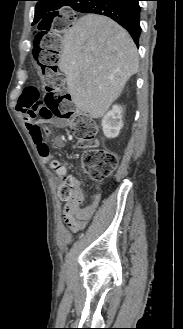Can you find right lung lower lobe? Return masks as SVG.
I'll return each mask as SVG.
<instances>
[{
	"instance_id": "1",
	"label": "right lung lower lobe",
	"mask_w": 183,
	"mask_h": 329,
	"mask_svg": "<svg viewBox=\"0 0 183 329\" xmlns=\"http://www.w3.org/2000/svg\"><path fill=\"white\" fill-rule=\"evenodd\" d=\"M139 0H71V7L82 13L105 15L119 23L138 45L141 33Z\"/></svg>"
}]
</instances>
